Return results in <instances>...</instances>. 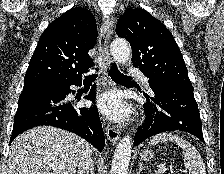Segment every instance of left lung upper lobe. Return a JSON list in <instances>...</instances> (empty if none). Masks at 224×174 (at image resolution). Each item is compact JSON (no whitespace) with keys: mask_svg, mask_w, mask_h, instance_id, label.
<instances>
[{"mask_svg":"<svg viewBox=\"0 0 224 174\" xmlns=\"http://www.w3.org/2000/svg\"><path fill=\"white\" fill-rule=\"evenodd\" d=\"M132 48V62L151 83L192 85L180 49L170 31L144 9L129 8L116 25Z\"/></svg>","mask_w":224,"mask_h":174,"instance_id":"5c2ea615","label":"left lung upper lobe"}]
</instances>
